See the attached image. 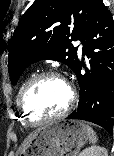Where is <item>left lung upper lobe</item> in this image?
I'll use <instances>...</instances> for the list:
<instances>
[{
    "instance_id": "5c2ea615",
    "label": "left lung upper lobe",
    "mask_w": 114,
    "mask_h": 156,
    "mask_svg": "<svg viewBox=\"0 0 114 156\" xmlns=\"http://www.w3.org/2000/svg\"><path fill=\"white\" fill-rule=\"evenodd\" d=\"M99 1L35 0L12 37L8 59L12 85L29 65L42 59L63 62L74 71L77 47L70 42L81 40Z\"/></svg>"
}]
</instances>
